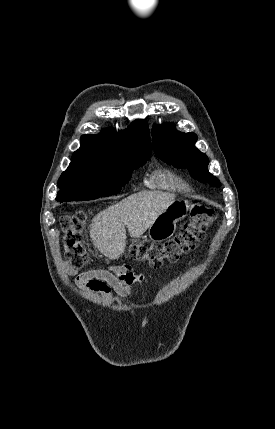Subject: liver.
<instances>
[{
    "label": "liver",
    "instance_id": "liver-1",
    "mask_svg": "<svg viewBox=\"0 0 275 429\" xmlns=\"http://www.w3.org/2000/svg\"><path fill=\"white\" fill-rule=\"evenodd\" d=\"M174 199V194L160 191H143L122 199L93 218V244L109 259H118L126 246L125 227L132 237H140Z\"/></svg>",
    "mask_w": 275,
    "mask_h": 429
}]
</instances>
